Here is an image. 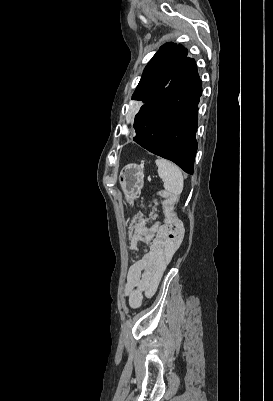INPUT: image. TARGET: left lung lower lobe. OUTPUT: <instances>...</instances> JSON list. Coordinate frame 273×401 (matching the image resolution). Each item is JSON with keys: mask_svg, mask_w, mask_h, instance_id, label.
Segmentation results:
<instances>
[{"mask_svg": "<svg viewBox=\"0 0 273 401\" xmlns=\"http://www.w3.org/2000/svg\"><path fill=\"white\" fill-rule=\"evenodd\" d=\"M201 94L202 83L195 60L187 57L174 72L168 86L136 114L133 140L193 174Z\"/></svg>", "mask_w": 273, "mask_h": 401, "instance_id": "left-lung-lower-lobe-1", "label": "left lung lower lobe"}]
</instances>
